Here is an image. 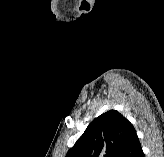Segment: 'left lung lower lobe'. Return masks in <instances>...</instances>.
Returning <instances> with one entry per match:
<instances>
[{"label": "left lung lower lobe", "mask_w": 164, "mask_h": 157, "mask_svg": "<svg viewBox=\"0 0 164 157\" xmlns=\"http://www.w3.org/2000/svg\"><path fill=\"white\" fill-rule=\"evenodd\" d=\"M120 157H144V153L142 151L137 134H135L129 140L126 148L124 149Z\"/></svg>", "instance_id": "0a47b994"}]
</instances>
